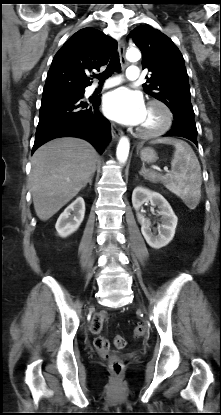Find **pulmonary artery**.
<instances>
[{"label": "pulmonary artery", "instance_id": "1", "mask_svg": "<svg viewBox=\"0 0 221 415\" xmlns=\"http://www.w3.org/2000/svg\"><path fill=\"white\" fill-rule=\"evenodd\" d=\"M126 78L128 80H131V81L137 80L139 78V68L137 66H133V65L132 66H129L127 68V70H126ZM121 81L122 80L120 78H118V77L110 78L109 80H107L103 84V88L106 89V88L114 87V86L120 84ZM96 88H97L96 85L95 86H92L91 87V91L95 90Z\"/></svg>", "mask_w": 221, "mask_h": 415}]
</instances>
